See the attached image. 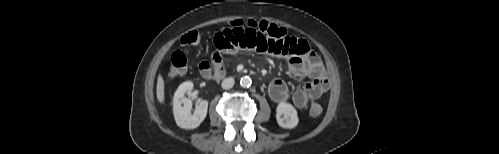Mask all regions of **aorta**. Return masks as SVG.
<instances>
[{
    "instance_id": "1",
    "label": "aorta",
    "mask_w": 499,
    "mask_h": 154,
    "mask_svg": "<svg viewBox=\"0 0 499 154\" xmlns=\"http://www.w3.org/2000/svg\"><path fill=\"white\" fill-rule=\"evenodd\" d=\"M251 83H252V80L249 76H244L241 78L240 80V85L243 87V88H248L251 86Z\"/></svg>"
}]
</instances>
